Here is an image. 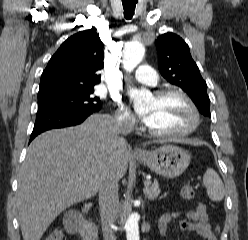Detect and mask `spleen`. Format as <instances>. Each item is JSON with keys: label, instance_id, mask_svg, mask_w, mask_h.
Wrapping results in <instances>:
<instances>
[{"label": "spleen", "instance_id": "3e777b00", "mask_svg": "<svg viewBox=\"0 0 248 240\" xmlns=\"http://www.w3.org/2000/svg\"><path fill=\"white\" fill-rule=\"evenodd\" d=\"M203 183L207 188L208 197L212 201H221L224 198V184L214 169H207L203 176Z\"/></svg>", "mask_w": 248, "mask_h": 240}]
</instances>
